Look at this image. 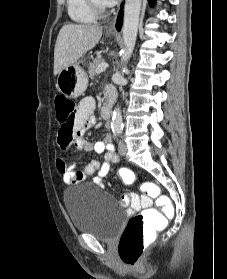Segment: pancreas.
I'll return each instance as SVG.
<instances>
[{
    "instance_id": "obj_1",
    "label": "pancreas",
    "mask_w": 227,
    "mask_h": 279,
    "mask_svg": "<svg viewBox=\"0 0 227 279\" xmlns=\"http://www.w3.org/2000/svg\"><path fill=\"white\" fill-rule=\"evenodd\" d=\"M105 61L103 59H100V58H97V59H94L93 62L90 64V67H89V70H88V73H89V77L91 79H93V77L96 75V71L98 69V67L102 64H104Z\"/></svg>"
}]
</instances>
